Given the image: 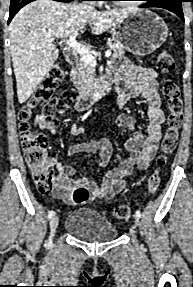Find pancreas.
Masks as SVG:
<instances>
[{"mask_svg":"<svg viewBox=\"0 0 193 287\" xmlns=\"http://www.w3.org/2000/svg\"><path fill=\"white\" fill-rule=\"evenodd\" d=\"M113 50L112 58H122L125 53V47L119 42L109 43ZM95 69L85 63L80 58L76 65L73 66L71 71V78L74 86L78 89L81 94H88L96 83Z\"/></svg>","mask_w":193,"mask_h":287,"instance_id":"obj_1","label":"pancreas"}]
</instances>
